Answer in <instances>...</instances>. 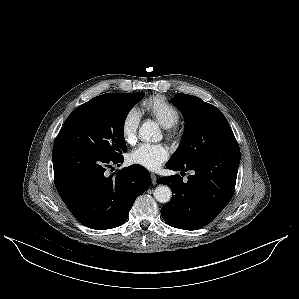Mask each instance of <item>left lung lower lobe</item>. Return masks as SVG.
<instances>
[{"label":"left lung lower lobe","mask_w":299,"mask_h":299,"mask_svg":"<svg viewBox=\"0 0 299 299\" xmlns=\"http://www.w3.org/2000/svg\"><path fill=\"white\" fill-rule=\"evenodd\" d=\"M240 149L238 143L210 152L186 164L167 163L175 171L193 170L183 181L179 175L160 177L159 184L172 190V198L161 208L164 221L184 230H197L214 220L230 202L236 184Z\"/></svg>","instance_id":"left-lung-lower-lobe-1"}]
</instances>
